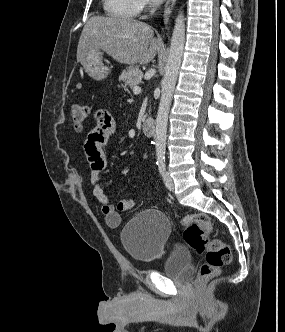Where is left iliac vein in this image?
<instances>
[{
    "mask_svg": "<svg viewBox=\"0 0 285 332\" xmlns=\"http://www.w3.org/2000/svg\"><path fill=\"white\" fill-rule=\"evenodd\" d=\"M163 179H164V183H165V186L167 187V189L172 191L174 189V182H173V179L171 178V176L168 172H166L164 174Z\"/></svg>",
    "mask_w": 285,
    "mask_h": 332,
    "instance_id": "left-iliac-vein-1",
    "label": "left iliac vein"
}]
</instances>
